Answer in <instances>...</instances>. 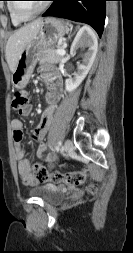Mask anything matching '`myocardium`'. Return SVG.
Listing matches in <instances>:
<instances>
[{
	"label": "myocardium",
	"mask_w": 133,
	"mask_h": 253,
	"mask_svg": "<svg viewBox=\"0 0 133 253\" xmlns=\"http://www.w3.org/2000/svg\"><path fill=\"white\" fill-rule=\"evenodd\" d=\"M15 1V0H13ZM48 7V2H44V4L34 13L32 14H24L23 12H21V10L18 8L17 6V2H11V9L12 12L14 14V16L20 20V21H28L31 20L35 17H37L38 15H40L42 12H44L46 10V8Z\"/></svg>",
	"instance_id": "1"
}]
</instances>
